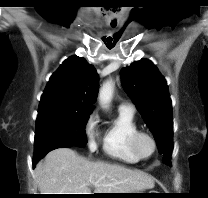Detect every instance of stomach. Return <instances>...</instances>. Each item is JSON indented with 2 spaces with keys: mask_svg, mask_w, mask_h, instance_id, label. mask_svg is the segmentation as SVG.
Masks as SVG:
<instances>
[{
  "mask_svg": "<svg viewBox=\"0 0 208 198\" xmlns=\"http://www.w3.org/2000/svg\"><path fill=\"white\" fill-rule=\"evenodd\" d=\"M140 193H143V192L134 191V192H130V194H126V195L121 196V197H124V198H138V197H140Z\"/></svg>",
  "mask_w": 208,
  "mask_h": 198,
  "instance_id": "0dacf381",
  "label": "stomach"
}]
</instances>
